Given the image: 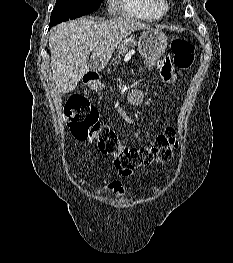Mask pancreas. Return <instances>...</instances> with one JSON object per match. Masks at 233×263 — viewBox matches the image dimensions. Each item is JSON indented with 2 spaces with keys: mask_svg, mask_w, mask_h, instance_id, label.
<instances>
[{
  "mask_svg": "<svg viewBox=\"0 0 233 263\" xmlns=\"http://www.w3.org/2000/svg\"><path fill=\"white\" fill-rule=\"evenodd\" d=\"M135 44H136L135 41H128V42L122 43L118 47L117 58L119 59L120 55L125 54L130 48H133ZM117 58L115 60V63H117Z\"/></svg>",
  "mask_w": 233,
  "mask_h": 263,
  "instance_id": "obj_1",
  "label": "pancreas"
}]
</instances>
